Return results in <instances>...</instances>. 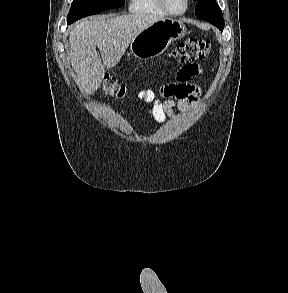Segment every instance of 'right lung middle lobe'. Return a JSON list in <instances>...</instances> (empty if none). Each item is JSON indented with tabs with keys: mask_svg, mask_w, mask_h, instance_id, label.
<instances>
[{
	"mask_svg": "<svg viewBox=\"0 0 288 293\" xmlns=\"http://www.w3.org/2000/svg\"><path fill=\"white\" fill-rule=\"evenodd\" d=\"M124 3L125 0H73L67 16V24L106 9L121 7Z\"/></svg>",
	"mask_w": 288,
	"mask_h": 293,
	"instance_id": "right-lung-middle-lobe-1",
	"label": "right lung middle lobe"
}]
</instances>
